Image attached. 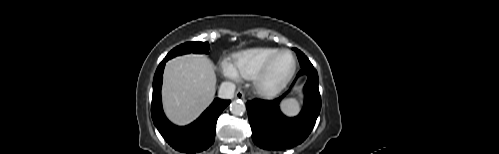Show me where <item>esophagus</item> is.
Segmentation results:
<instances>
[{"mask_svg":"<svg viewBox=\"0 0 499 154\" xmlns=\"http://www.w3.org/2000/svg\"><path fill=\"white\" fill-rule=\"evenodd\" d=\"M235 97L237 99H243L245 97V94L241 89H238L235 93Z\"/></svg>","mask_w":499,"mask_h":154,"instance_id":"esophagus-1","label":"esophagus"}]
</instances>
